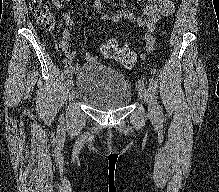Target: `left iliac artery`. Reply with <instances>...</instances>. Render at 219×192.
Here are the masks:
<instances>
[{
  "label": "left iliac artery",
  "mask_w": 219,
  "mask_h": 192,
  "mask_svg": "<svg viewBox=\"0 0 219 192\" xmlns=\"http://www.w3.org/2000/svg\"><path fill=\"white\" fill-rule=\"evenodd\" d=\"M149 84L152 86L154 94L157 93L158 92V83H157L156 79H154L153 77H150ZM157 116L160 120L163 118V112H162L160 105L157 106Z\"/></svg>",
  "instance_id": "left-iliac-artery-1"
}]
</instances>
